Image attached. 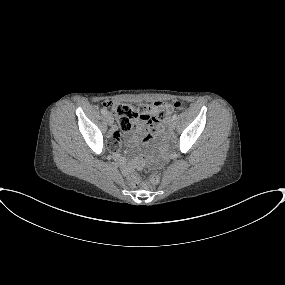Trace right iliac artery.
Here are the masks:
<instances>
[{
  "mask_svg": "<svg viewBox=\"0 0 285 285\" xmlns=\"http://www.w3.org/2000/svg\"><path fill=\"white\" fill-rule=\"evenodd\" d=\"M101 113L104 114V115H106V114H107V110L104 109V108H101Z\"/></svg>",
  "mask_w": 285,
  "mask_h": 285,
  "instance_id": "82829eb1",
  "label": "right iliac artery"
}]
</instances>
